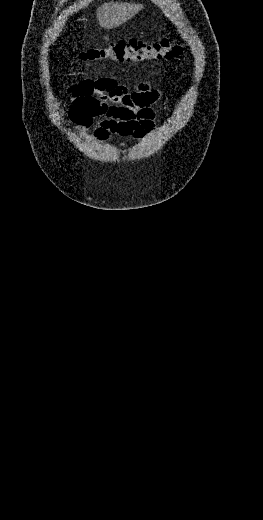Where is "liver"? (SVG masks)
<instances>
[{
  "instance_id": "obj_1",
  "label": "liver",
  "mask_w": 263,
  "mask_h": 520,
  "mask_svg": "<svg viewBox=\"0 0 263 520\" xmlns=\"http://www.w3.org/2000/svg\"><path fill=\"white\" fill-rule=\"evenodd\" d=\"M142 8V4L106 2L97 9V20L101 27L112 29L130 20L142 10Z\"/></svg>"
}]
</instances>
